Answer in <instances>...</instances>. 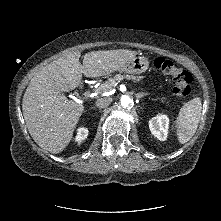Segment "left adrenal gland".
<instances>
[{"mask_svg": "<svg viewBox=\"0 0 221 221\" xmlns=\"http://www.w3.org/2000/svg\"><path fill=\"white\" fill-rule=\"evenodd\" d=\"M146 95H148V93H138V94H136V97L141 98V97L146 96Z\"/></svg>", "mask_w": 221, "mask_h": 221, "instance_id": "left-adrenal-gland-1", "label": "left adrenal gland"}]
</instances>
